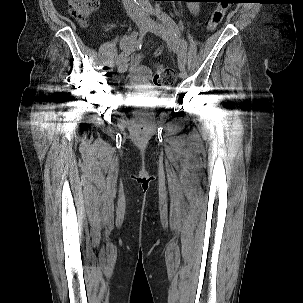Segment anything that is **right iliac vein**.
<instances>
[{"instance_id": "right-iliac-vein-1", "label": "right iliac vein", "mask_w": 303, "mask_h": 303, "mask_svg": "<svg viewBox=\"0 0 303 303\" xmlns=\"http://www.w3.org/2000/svg\"><path fill=\"white\" fill-rule=\"evenodd\" d=\"M136 24H137V27H138V30H139V33H140V36H143L144 33L147 31L148 29V21L147 20H144V19H140V20H137L136 21ZM128 68V62L125 61L123 62L119 67H118V72L121 74V73H124L126 72Z\"/></svg>"}]
</instances>
